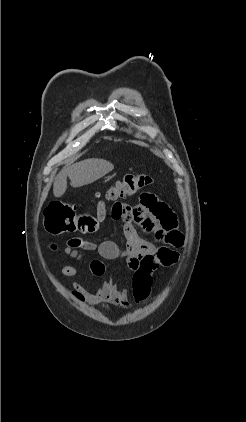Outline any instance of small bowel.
<instances>
[{
	"label": "small bowel",
	"instance_id": "small-bowel-1",
	"mask_svg": "<svg viewBox=\"0 0 246 422\" xmlns=\"http://www.w3.org/2000/svg\"><path fill=\"white\" fill-rule=\"evenodd\" d=\"M111 219L123 222L124 235L127 246L121 251L113 241H103L99 244L84 240L80 237L71 238L67 246L62 249V255L69 258H78L81 252L96 251L103 259L124 262L133 271L136 262L144 255L154 254L161 249L180 248L184 243V236L178 229L176 214L156 195L146 193L136 206L115 204L111 208ZM139 223L147 231L154 234L162 243L157 245L143 239L134 224ZM55 248V246H53ZM90 270L95 276H103L105 265L101 260H94ZM64 277H79L80 270L72 265L63 266L60 270ZM73 292L77 298L91 305L108 303L121 309L131 306L126 290L116 286L111 280L103 281L93 292L86 291L81 284L74 282Z\"/></svg>",
	"mask_w": 246,
	"mask_h": 422
}]
</instances>
